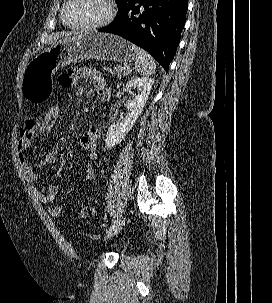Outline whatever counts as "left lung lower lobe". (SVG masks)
<instances>
[{
	"instance_id": "left-lung-lower-lobe-1",
	"label": "left lung lower lobe",
	"mask_w": 272,
	"mask_h": 303,
	"mask_svg": "<svg viewBox=\"0 0 272 303\" xmlns=\"http://www.w3.org/2000/svg\"><path fill=\"white\" fill-rule=\"evenodd\" d=\"M188 0H138L126 13L99 29L148 51L169 70L186 22Z\"/></svg>"
}]
</instances>
